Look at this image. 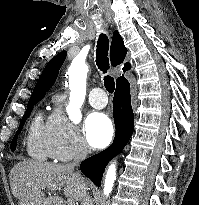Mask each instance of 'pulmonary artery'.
I'll return each instance as SVG.
<instances>
[{"instance_id":"e3ab8cb5","label":"pulmonary artery","mask_w":199,"mask_h":205,"mask_svg":"<svg viewBox=\"0 0 199 205\" xmlns=\"http://www.w3.org/2000/svg\"><path fill=\"white\" fill-rule=\"evenodd\" d=\"M89 102L92 107L102 109L107 104V97L101 88H94L90 92Z\"/></svg>"}]
</instances>
